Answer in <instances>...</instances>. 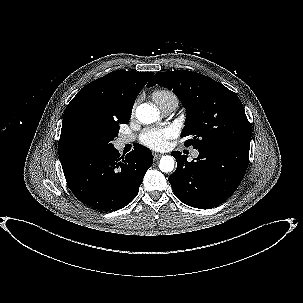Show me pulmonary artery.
Masks as SVG:
<instances>
[{"label":"pulmonary artery","instance_id":"e3ab8cb5","mask_svg":"<svg viewBox=\"0 0 303 303\" xmlns=\"http://www.w3.org/2000/svg\"><path fill=\"white\" fill-rule=\"evenodd\" d=\"M175 108H176L175 105L168 104V105H165V106L161 107V110H162V113H163L164 115H169ZM133 139H134L133 136L122 135V136L119 137V140H118V141H119V144H120V145H125V144H127V143L132 142ZM198 155H199L198 151H194V152L192 153V156H193L194 158H196Z\"/></svg>","mask_w":303,"mask_h":303}]
</instances>
